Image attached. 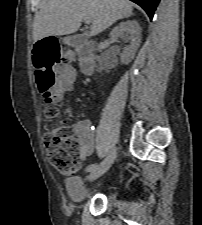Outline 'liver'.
<instances>
[{"mask_svg":"<svg viewBox=\"0 0 202 225\" xmlns=\"http://www.w3.org/2000/svg\"><path fill=\"white\" fill-rule=\"evenodd\" d=\"M126 0H45L33 22V39L76 32L90 18V35L96 36L117 20L132 15Z\"/></svg>","mask_w":202,"mask_h":225,"instance_id":"6515ba94","label":"liver"}]
</instances>
